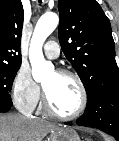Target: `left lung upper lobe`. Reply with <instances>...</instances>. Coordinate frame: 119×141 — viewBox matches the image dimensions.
Wrapping results in <instances>:
<instances>
[{"mask_svg":"<svg viewBox=\"0 0 119 141\" xmlns=\"http://www.w3.org/2000/svg\"><path fill=\"white\" fill-rule=\"evenodd\" d=\"M59 42L87 92V99L119 88L109 19L96 0H59Z\"/></svg>","mask_w":119,"mask_h":141,"instance_id":"obj_1","label":"left lung upper lobe"}]
</instances>
